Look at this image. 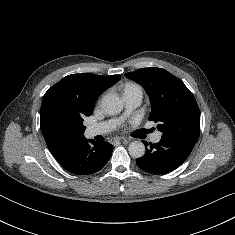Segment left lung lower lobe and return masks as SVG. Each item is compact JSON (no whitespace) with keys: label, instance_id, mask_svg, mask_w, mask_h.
<instances>
[{"label":"left lung lower lobe","instance_id":"1","mask_svg":"<svg viewBox=\"0 0 235 235\" xmlns=\"http://www.w3.org/2000/svg\"><path fill=\"white\" fill-rule=\"evenodd\" d=\"M146 153L136 160L137 165L144 171L164 174L179 167L189 156L195 144L162 138L156 144L144 142ZM148 146V148H147Z\"/></svg>","mask_w":235,"mask_h":235}]
</instances>
